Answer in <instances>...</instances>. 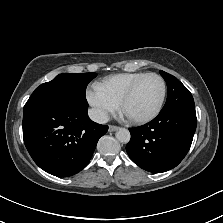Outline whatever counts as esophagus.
<instances>
[{
    "instance_id": "1",
    "label": "esophagus",
    "mask_w": 223,
    "mask_h": 223,
    "mask_svg": "<svg viewBox=\"0 0 223 223\" xmlns=\"http://www.w3.org/2000/svg\"><path fill=\"white\" fill-rule=\"evenodd\" d=\"M118 129H119V127L118 126H115V125H110L109 126V132H114V131H116Z\"/></svg>"
}]
</instances>
